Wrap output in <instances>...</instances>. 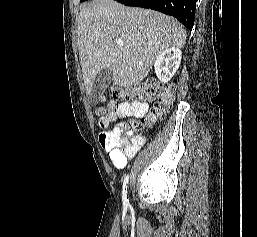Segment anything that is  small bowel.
<instances>
[{
	"label": "small bowel",
	"mask_w": 257,
	"mask_h": 237,
	"mask_svg": "<svg viewBox=\"0 0 257 237\" xmlns=\"http://www.w3.org/2000/svg\"><path fill=\"white\" fill-rule=\"evenodd\" d=\"M147 110L148 105L145 102H122L111 106L108 114L110 120L116 123L128 117L141 118L145 116ZM117 131H119V127H115L112 132ZM129 135L132 139L128 144H119L114 147H109L108 145L104 146L114 167L118 170L126 166L128 159L132 158L145 142L143 136H134L132 132H130Z\"/></svg>",
	"instance_id": "obj_1"
}]
</instances>
